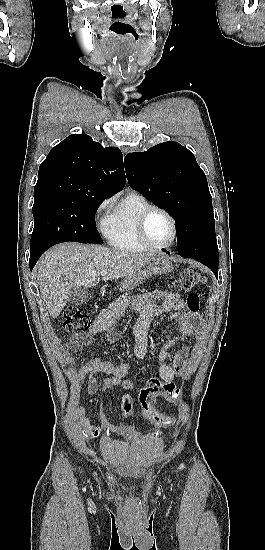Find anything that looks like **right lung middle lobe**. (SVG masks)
<instances>
[{"label": "right lung middle lobe", "instance_id": "1", "mask_svg": "<svg viewBox=\"0 0 265 550\" xmlns=\"http://www.w3.org/2000/svg\"><path fill=\"white\" fill-rule=\"evenodd\" d=\"M107 197L35 196L30 254L66 241L102 244L95 213Z\"/></svg>", "mask_w": 265, "mask_h": 550}]
</instances>
